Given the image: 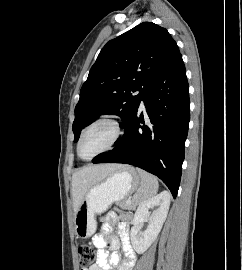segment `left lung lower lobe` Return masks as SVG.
I'll list each match as a JSON object with an SVG mask.
<instances>
[{
    "instance_id": "1",
    "label": "left lung lower lobe",
    "mask_w": 242,
    "mask_h": 270,
    "mask_svg": "<svg viewBox=\"0 0 242 270\" xmlns=\"http://www.w3.org/2000/svg\"><path fill=\"white\" fill-rule=\"evenodd\" d=\"M142 100L148 123L145 124L143 113H136L116 147L95 157L93 163H124L142 168L158 176L176 198L190 120L189 86L181 55L156 77Z\"/></svg>"
}]
</instances>
